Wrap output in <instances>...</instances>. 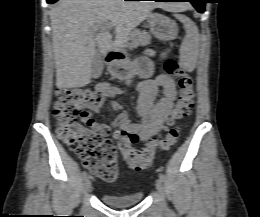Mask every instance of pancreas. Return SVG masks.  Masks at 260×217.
Segmentation results:
<instances>
[{
    "instance_id": "1",
    "label": "pancreas",
    "mask_w": 260,
    "mask_h": 217,
    "mask_svg": "<svg viewBox=\"0 0 260 217\" xmlns=\"http://www.w3.org/2000/svg\"><path fill=\"white\" fill-rule=\"evenodd\" d=\"M151 36L145 31L135 30L132 33V43L133 47H137L139 45H148L150 43Z\"/></svg>"
}]
</instances>
